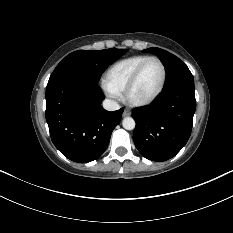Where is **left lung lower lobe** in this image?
Wrapping results in <instances>:
<instances>
[{"mask_svg": "<svg viewBox=\"0 0 233 233\" xmlns=\"http://www.w3.org/2000/svg\"><path fill=\"white\" fill-rule=\"evenodd\" d=\"M196 109L194 84L164 89L151 105L135 108L133 140L147 159L165 161L174 157L187 143Z\"/></svg>", "mask_w": 233, "mask_h": 233, "instance_id": "0a47b994", "label": "left lung lower lobe"}]
</instances>
